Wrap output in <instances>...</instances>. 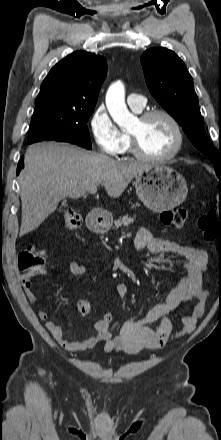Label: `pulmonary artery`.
Returning a JSON list of instances; mask_svg holds the SVG:
<instances>
[{
	"mask_svg": "<svg viewBox=\"0 0 221 440\" xmlns=\"http://www.w3.org/2000/svg\"><path fill=\"white\" fill-rule=\"evenodd\" d=\"M127 103L132 109L141 111L146 105V99L140 94L132 93L127 97Z\"/></svg>",
	"mask_w": 221,
	"mask_h": 440,
	"instance_id": "1",
	"label": "pulmonary artery"
}]
</instances>
